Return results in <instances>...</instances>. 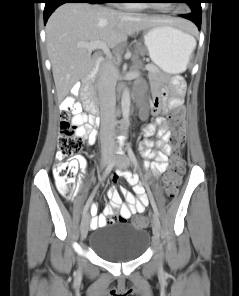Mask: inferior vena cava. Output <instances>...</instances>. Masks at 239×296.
I'll return each mask as SVG.
<instances>
[{"instance_id":"602c4592","label":"inferior vena cava","mask_w":239,"mask_h":296,"mask_svg":"<svg viewBox=\"0 0 239 296\" xmlns=\"http://www.w3.org/2000/svg\"><path fill=\"white\" fill-rule=\"evenodd\" d=\"M118 71L110 61L103 63L98 82V97L101 113L100 138L101 143L115 146L114 131L116 126V96L115 86Z\"/></svg>"}]
</instances>
